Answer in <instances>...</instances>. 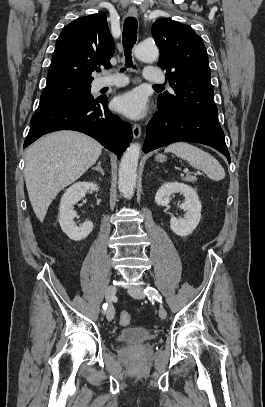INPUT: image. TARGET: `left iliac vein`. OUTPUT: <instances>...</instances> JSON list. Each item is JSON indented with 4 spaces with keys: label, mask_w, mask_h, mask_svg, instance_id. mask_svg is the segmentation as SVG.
I'll use <instances>...</instances> for the list:
<instances>
[{
    "label": "left iliac vein",
    "mask_w": 265,
    "mask_h": 407,
    "mask_svg": "<svg viewBox=\"0 0 265 407\" xmlns=\"http://www.w3.org/2000/svg\"><path fill=\"white\" fill-rule=\"evenodd\" d=\"M129 294L136 299H143L145 297V294L143 293V288L140 286H134L130 288ZM159 317L161 319H165L167 317V311L163 306L159 308Z\"/></svg>",
    "instance_id": "left-iliac-vein-1"
}]
</instances>
